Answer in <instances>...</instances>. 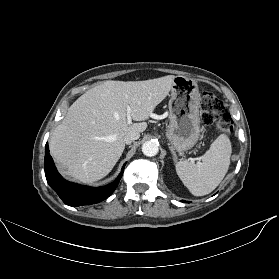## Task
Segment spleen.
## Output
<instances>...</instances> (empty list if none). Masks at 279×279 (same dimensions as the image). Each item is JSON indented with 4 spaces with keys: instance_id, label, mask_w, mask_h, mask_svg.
<instances>
[{
    "instance_id": "spleen-1",
    "label": "spleen",
    "mask_w": 279,
    "mask_h": 279,
    "mask_svg": "<svg viewBox=\"0 0 279 279\" xmlns=\"http://www.w3.org/2000/svg\"><path fill=\"white\" fill-rule=\"evenodd\" d=\"M232 153L231 142L221 134L202 156L201 162L188 160L176 163V172L183 184L194 196L211 193L225 177Z\"/></svg>"
}]
</instances>
